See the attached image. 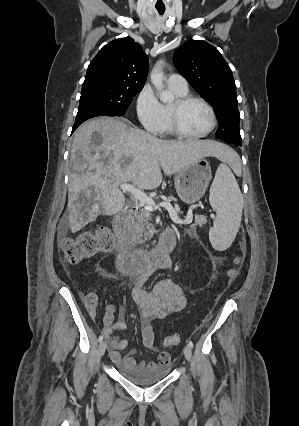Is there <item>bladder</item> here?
Wrapping results in <instances>:
<instances>
[{
  "label": "bladder",
  "mask_w": 299,
  "mask_h": 426,
  "mask_svg": "<svg viewBox=\"0 0 299 426\" xmlns=\"http://www.w3.org/2000/svg\"><path fill=\"white\" fill-rule=\"evenodd\" d=\"M120 372L130 382L141 386H148L163 380L169 373V367H138L134 369H122Z\"/></svg>",
  "instance_id": "bladder-1"
}]
</instances>
